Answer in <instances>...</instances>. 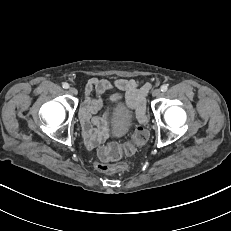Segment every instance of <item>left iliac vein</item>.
Segmentation results:
<instances>
[{"instance_id": "left-iliac-vein-1", "label": "left iliac vein", "mask_w": 231, "mask_h": 231, "mask_svg": "<svg viewBox=\"0 0 231 231\" xmlns=\"http://www.w3.org/2000/svg\"><path fill=\"white\" fill-rule=\"evenodd\" d=\"M161 95V90L160 89H154L152 91V96L153 97H159Z\"/></svg>"}]
</instances>
